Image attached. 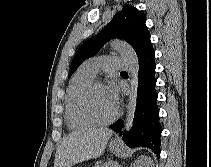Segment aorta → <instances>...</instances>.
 <instances>
[{"label": "aorta", "mask_w": 211, "mask_h": 167, "mask_svg": "<svg viewBox=\"0 0 211 167\" xmlns=\"http://www.w3.org/2000/svg\"><path fill=\"white\" fill-rule=\"evenodd\" d=\"M110 46L123 56L129 66V73L131 75V91L128 99V104L126 106L127 114L124 124L126 131H129L132 127V122L136 109L139 70L138 57L134 49L126 42L114 40L110 43Z\"/></svg>", "instance_id": "aorta-1"}]
</instances>
